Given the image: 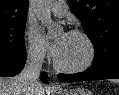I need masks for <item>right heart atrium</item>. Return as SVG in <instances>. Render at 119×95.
<instances>
[{"mask_svg": "<svg viewBox=\"0 0 119 95\" xmlns=\"http://www.w3.org/2000/svg\"><path fill=\"white\" fill-rule=\"evenodd\" d=\"M28 57L36 64L43 63L47 57L45 44L35 27H29L27 31Z\"/></svg>", "mask_w": 119, "mask_h": 95, "instance_id": "right-heart-atrium-1", "label": "right heart atrium"}]
</instances>
